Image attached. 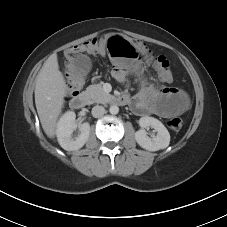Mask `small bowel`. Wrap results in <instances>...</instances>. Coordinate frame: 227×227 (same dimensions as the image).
<instances>
[{"label": "small bowel", "instance_id": "c3829d8e", "mask_svg": "<svg viewBox=\"0 0 227 227\" xmlns=\"http://www.w3.org/2000/svg\"><path fill=\"white\" fill-rule=\"evenodd\" d=\"M90 69L89 58L83 53H76L63 66L62 75L67 81L80 84L86 79ZM112 75L122 84L126 82L129 75L138 80L139 89L135 96L130 99L128 94L123 95L131 103L137 115L156 114L167 118L183 113L189 106V100L184 91L174 87L158 88L148 82L143 76L139 61L115 62Z\"/></svg>", "mask_w": 227, "mask_h": 227}]
</instances>
